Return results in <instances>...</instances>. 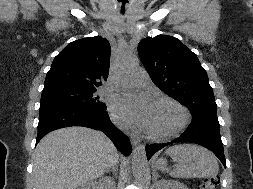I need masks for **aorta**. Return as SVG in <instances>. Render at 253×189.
<instances>
[{
    "label": "aorta",
    "mask_w": 253,
    "mask_h": 189,
    "mask_svg": "<svg viewBox=\"0 0 253 189\" xmlns=\"http://www.w3.org/2000/svg\"><path fill=\"white\" fill-rule=\"evenodd\" d=\"M138 65V59L131 55H124L119 62V70L126 72L133 70ZM147 155L143 145H137L132 154V171L137 176H143L147 172Z\"/></svg>",
    "instance_id": "762f6f07"
}]
</instances>
